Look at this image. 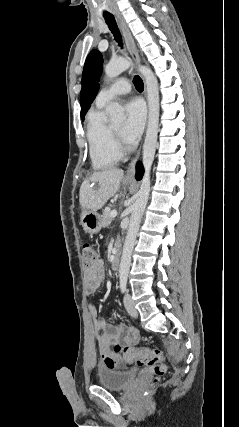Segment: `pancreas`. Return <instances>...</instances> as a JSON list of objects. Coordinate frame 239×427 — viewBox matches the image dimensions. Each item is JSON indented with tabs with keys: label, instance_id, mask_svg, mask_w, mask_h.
I'll use <instances>...</instances> for the list:
<instances>
[{
	"label": "pancreas",
	"instance_id": "cf45deb5",
	"mask_svg": "<svg viewBox=\"0 0 239 427\" xmlns=\"http://www.w3.org/2000/svg\"><path fill=\"white\" fill-rule=\"evenodd\" d=\"M111 211L110 210H105L103 212L102 215V224L104 227H107L110 225L111 221H112V217L110 216Z\"/></svg>",
	"mask_w": 239,
	"mask_h": 427
}]
</instances>
